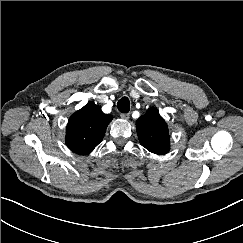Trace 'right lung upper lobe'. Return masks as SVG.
Returning a JSON list of instances; mask_svg holds the SVG:
<instances>
[{"label": "right lung upper lobe", "mask_w": 243, "mask_h": 243, "mask_svg": "<svg viewBox=\"0 0 243 243\" xmlns=\"http://www.w3.org/2000/svg\"><path fill=\"white\" fill-rule=\"evenodd\" d=\"M113 117L93 102L75 112L66 127V144L77 154H89L102 141Z\"/></svg>", "instance_id": "obj_1"}]
</instances>
